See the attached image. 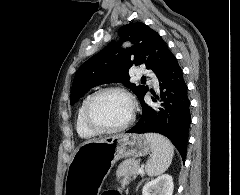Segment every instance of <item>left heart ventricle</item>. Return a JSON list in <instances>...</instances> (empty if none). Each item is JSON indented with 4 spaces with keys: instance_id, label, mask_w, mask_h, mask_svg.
<instances>
[{
    "instance_id": "b2bd125f",
    "label": "left heart ventricle",
    "mask_w": 240,
    "mask_h": 195,
    "mask_svg": "<svg viewBox=\"0 0 240 195\" xmlns=\"http://www.w3.org/2000/svg\"><path fill=\"white\" fill-rule=\"evenodd\" d=\"M131 116L129 100L121 94L110 93L102 96L93 107V118L101 126L123 125Z\"/></svg>"
}]
</instances>
